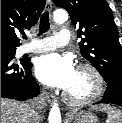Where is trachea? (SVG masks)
Segmentation results:
<instances>
[{
	"instance_id": "trachea-1",
	"label": "trachea",
	"mask_w": 122,
	"mask_h": 123,
	"mask_svg": "<svg viewBox=\"0 0 122 123\" xmlns=\"http://www.w3.org/2000/svg\"><path fill=\"white\" fill-rule=\"evenodd\" d=\"M49 28H50L49 13L44 12L40 18L39 35H42L43 33L47 32ZM23 38L27 39L26 36H23Z\"/></svg>"
}]
</instances>
